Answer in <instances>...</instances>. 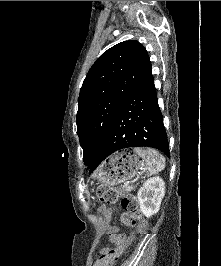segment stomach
Masks as SVG:
<instances>
[{
    "label": "stomach",
    "mask_w": 221,
    "mask_h": 266,
    "mask_svg": "<svg viewBox=\"0 0 221 266\" xmlns=\"http://www.w3.org/2000/svg\"><path fill=\"white\" fill-rule=\"evenodd\" d=\"M141 158L136 149H126L109 156L98 168V181L108 186L129 181L144 165Z\"/></svg>",
    "instance_id": "stomach-1"
}]
</instances>
